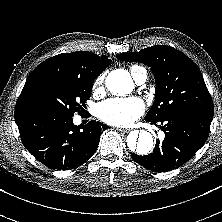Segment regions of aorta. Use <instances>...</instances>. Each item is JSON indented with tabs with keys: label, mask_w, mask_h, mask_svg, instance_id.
I'll use <instances>...</instances> for the list:
<instances>
[{
	"label": "aorta",
	"mask_w": 222,
	"mask_h": 222,
	"mask_svg": "<svg viewBox=\"0 0 222 222\" xmlns=\"http://www.w3.org/2000/svg\"><path fill=\"white\" fill-rule=\"evenodd\" d=\"M107 89L114 95L123 96L134 89V83L128 71L117 69L110 72L105 80ZM129 150L137 155H147L153 147V137L145 130L132 131L127 137Z\"/></svg>",
	"instance_id": "obj_1"
}]
</instances>
